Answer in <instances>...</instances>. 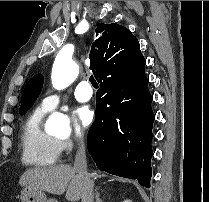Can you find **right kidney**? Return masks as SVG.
Listing matches in <instances>:
<instances>
[{
  "label": "right kidney",
  "mask_w": 209,
  "mask_h": 202,
  "mask_svg": "<svg viewBox=\"0 0 209 202\" xmlns=\"http://www.w3.org/2000/svg\"><path fill=\"white\" fill-rule=\"evenodd\" d=\"M123 202H132V201L127 199V200H124Z\"/></svg>",
  "instance_id": "obj_1"
}]
</instances>
